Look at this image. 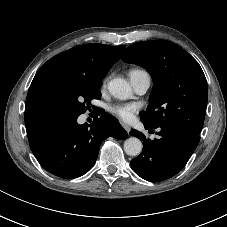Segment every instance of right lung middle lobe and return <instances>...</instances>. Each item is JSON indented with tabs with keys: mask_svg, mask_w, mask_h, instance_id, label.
<instances>
[{
	"mask_svg": "<svg viewBox=\"0 0 227 227\" xmlns=\"http://www.w3.org/2000/svg\"><path fill=\"white\" fill-rule=\"evenodd\" d=\"M103 78L59 79L52 92V98L59 119L77 117L86 112L92 99H99Z\"/></svg>",
	"mask_w": 227,
	"mask_h": 227,
	"instance_id": "1",
	"label": "right lung middle lobe"
}]
</instances>
